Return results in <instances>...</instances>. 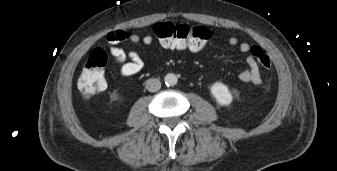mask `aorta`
<instances>
[{"label":"aorta","mask_w":337,"mask_h":171,"mask_svg":"<svg viewBox=\"0 0 337 171\" xmlns=\"http://www.w3.org/2000/svg\"><path fill=\"white\" fill-rule=\"evenodd\" d=\"M165 84L167 86H174L178 82V78L175 74L173 73H168L165 78H164Z\"/></svg>","instance_id":"1"}]
</instances>
